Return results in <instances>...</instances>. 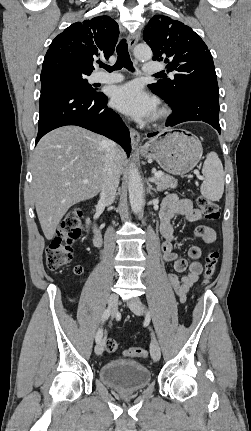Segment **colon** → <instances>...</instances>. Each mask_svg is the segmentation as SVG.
<instances>
[{"label": "colon", "mask_w": 251, "mask_h": 431, "mask_svg": "<svg viewBox=\"0 0 251 431\" xmlns=\"http://www.w3.org/2000/svg\"><path fill=\"white\" fill-rule=\"evenodd\" d=\"M197 205L203 213L204 218L209 222H215L219 218V208L216 203L199 195ZM83 212L80 208L70 209L62 219L55 238L50 242L46 249V263L51 271H57L68 265L73 257L72 243L81 235V220ZM219 263V252L210 249L205 258V269L203 285H208L213 279ZM83 271L81 266L74 267L76 275ZM105 349L109 353H114L118 349V344L114 339L105 342ZM127 357L147 358L148 352L142 347H130L124 351Z\"/></svg>", "instance_id": "colon-1"}]
</instances>
